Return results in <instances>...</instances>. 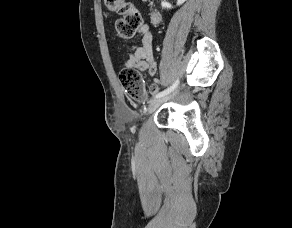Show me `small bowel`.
Returning a JSON list of instances; mask_svg holds the SVG:
<instances>
[{
  "instance_id": "1",
  "label": "small bowel",
  "mask_w": 292,
  "mask_h": 228,
  "mask_svg": "<svg viewBox=\"0 0 292 228\" xmlns=\"http://www.w3.org/2000/svg\"><path fill=\"white\" fill-rule=\"evenodd\" d=\"M141 45H133L125 62V68L132 67L138 71H148L151 76L157 73V62L153 53V35L148 24H144L139 30ZM150 92L155 94L159 91L158 82L150 86Z\"/></svg>"
}]
</instances>
